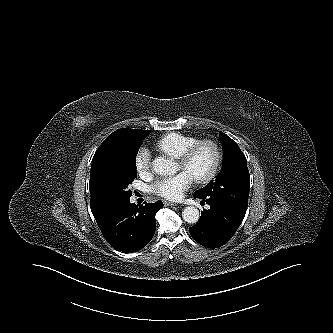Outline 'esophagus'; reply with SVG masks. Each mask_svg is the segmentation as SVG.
I'll list each match as a JSON object with an SVG mask.
<instances>
[{"label": "esophagus", "mask_w": 333, "mask_h": 333, "mask_svg": "<svg viewBox=\"0 0 333 333\" xmlns=\"http://www.w3.org/2000/svg\"><path fill=\"white\" fill-rule=\"evenodd\" d=\"M163 204H164L165 206H177L176 203L169 202V201H166V200L163 201Z\"/></svg>", "instance_id": "34e87169"}]
</instances>
